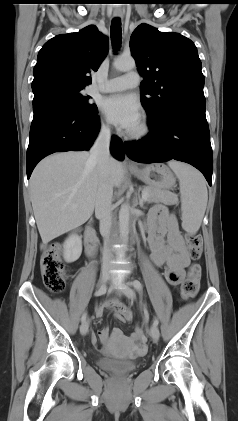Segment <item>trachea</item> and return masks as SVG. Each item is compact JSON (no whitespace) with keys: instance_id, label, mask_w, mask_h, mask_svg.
Wrapping results in <instances>:
<instances>
[{"instance_id":"obj_1","label":"trachea","mask_w":238,"mask_h":421,"mask_svg":"<svg viewBox=\"0 0 238 421\" xmlns=\"http://www.w3.org/2000/svg\"><path fill=\"white\" fill-rule=\"evenodd\" d=\"M122 31H121V20L114 18L111 24V41L114 49H118L121 46Z\"/></svg>"}]
</instances>
